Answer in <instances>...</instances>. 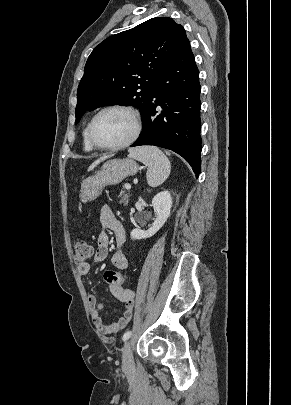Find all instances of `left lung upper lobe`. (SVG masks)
<instances>
[{"mask_svg":"<svg viewBox=\"0 0 291 405\" xmlns=\"http://www.w3.org/2000/svg\"><path fill=\"white\" fill-rule=\"evenodd\" d=\"M187 39L182 25L156 17L110 36L90 54L77 91V124L104 105H132L143 117L150 90Z\"/></svg>","mask_w":291,"mask_h":405,"instance_id":"left-lung-upper-lobe-1","label":"left lung upper lobe"}]
</instances>
